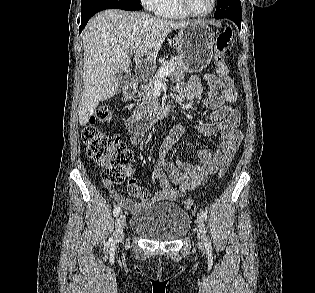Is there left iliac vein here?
<instances>
[{
    "instance_id": "left-iliac-vein-1",
    "label": "left iliac vein",
    "mask_w": 315,
    "mask_h": 293,
    "mask_svg": "<svg viewBox=\"0 0 315 293\" xmlns=\"http://www.w3.org/2000/svg\"><path fill=\"white\" fill-rule=\"evenodd\" d=\"M197 223V238H198V246L201 249L205 248V224L203 218L201 216L196 217Z\"/></svg>"
}]
</instances>
